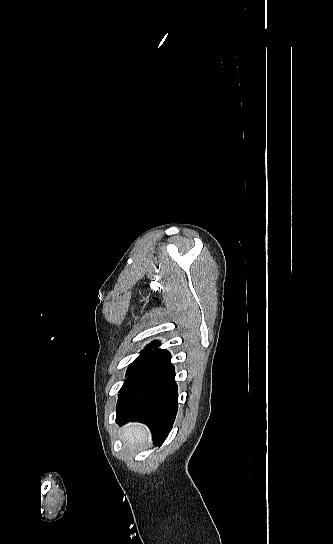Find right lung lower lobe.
Returning a JSON list of instances; mask_svg holds the SVG:
<instances>
[{"instance_id":"98d812e1","label":"right lung lower lobe","mask_w":333,"mask_h":544,"mask_svg":"<svg viewBox=\"0 0 333 544\" xmlns=\"http://www.w3.org/2000/svg\"><path fill=\"white\" fill-rule=\"evenodd\" d=\"M167 350L155 348L121 388L116 422L146 424L160 446L168 436L178 410L174 366Z\"/></svg>"}]
</instances>
